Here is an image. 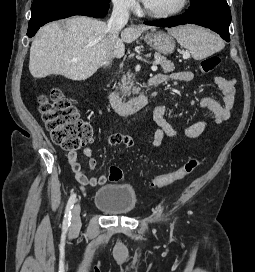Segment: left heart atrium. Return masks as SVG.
<instances>
[{"label": "left heart atrium", "mask_w": 255, "mask_h": 272, "mask_svg": "<svg viewBox=\"0 0 255 272\" xmlns=\"http://www.w3.org/2000/svg\"><path fill=\"white\" fill-rule=\"evenodd\" d=\"M143 2L146 4L148 2V0H143Z\"/></svg>", "instance_id": "left-heart-atrium-1"}]
</instances>
